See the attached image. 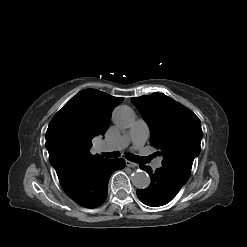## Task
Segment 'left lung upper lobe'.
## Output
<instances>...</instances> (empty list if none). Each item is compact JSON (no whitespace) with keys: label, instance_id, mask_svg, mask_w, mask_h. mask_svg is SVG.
Masks as SVG:
<instances>
[{"label":"left lung upper lobe","instance_id":"left-lung-upper-lobe-1","mask_svg":"<svg viewBox=\"0 0 247 247\" xmlns=\"http://www.w3.org/2000/svg\"><path fill=\"white\" fill-rule=\"evenodd\" d=\"M151 130L150 143L160 149L162 166L187 181L203 136L199 118L162 93L131 99Z\"/></svg>","mask_w":247,"mask_h":247}]
</instances>
